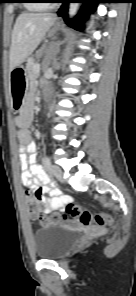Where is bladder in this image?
Segmentation results:
<instances>
[{"mask_svg": "<svg viewBox=\"0 0 136 296\" xmlns=\"http://www.w3.org/2000/svg\"><path fill=\"white\" fill-rule=\"evenodd\" d=\"M33 240L38 258L59 259L76 244L77 232L66 225L45 226L34 232Z\"/></svg>", "mask_w": 136, "mask_h": 296, "instance_id": "bladder-1", "label": "bladder"}]
</instances>
